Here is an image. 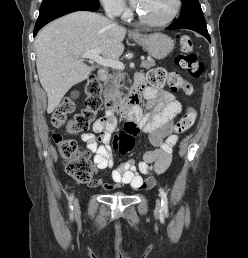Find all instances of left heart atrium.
<instances>
[{"label":"left heart atrium","instance_id":"39dd6f15","mask_svg":"<svg viewBox=\"0 0 248 258\" xmlns=\"http://www.w3.org/2000/svg\"><path fill=\"white\" fill-rule=\"evenodd\" d=\"M139 1H140V0H133V4H134L135 6H138Z\"/></svg>","mask_w":248,"mask_h":258}]
</instances>
